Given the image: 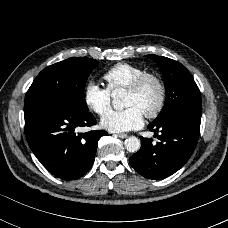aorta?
Wrapping results in <instances>:
<instances>
[{
	"instance_id": "762f6f07",
	"label": "aorta",
	"mask_w": 228,
	"mask_h": 228,
	"mask_svg": "<svg viewBox=\"0 0 228 228\" xmlns=\"http://www.w3.org/2000/svg\"><path fill=\"white\" fill-rule=\"evenodd\" d=\"M125 95V90L124 89H115L111 93V97L113 98L112 100V105L115 110H123L124 105L122 102V98ZM125 148L128 152L134 153L137 152L140 147H141V141L135 137L131 136L125 140Z\"/></svg>"
}]
</instances>
